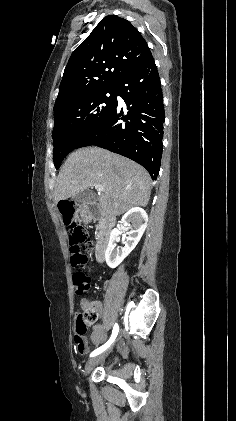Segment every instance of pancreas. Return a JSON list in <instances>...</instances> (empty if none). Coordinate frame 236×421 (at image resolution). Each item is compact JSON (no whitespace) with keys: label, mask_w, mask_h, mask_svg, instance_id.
<instances>
[{"label":"pancreas","mask_w":236,"mask_h":421,"mask_svg":"<svg viewBox=\"0 0 236 421\" xmlns=\"http://www.w3.org/2000/svg\"><path fill=\"white\" fill-rule=\"evenodd\" d=\"M96 231H99V227H98V225H97V227H96Z\"/></svg>","instance_id":"1"}]
</instances>
